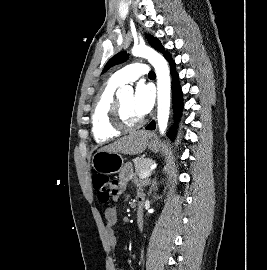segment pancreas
Here are the masks:
<instances>
[{
    "label": "pancreas",
    "instance_id": "1",
    "mask_svg": "<svg viewBox=\"0 0 267 270\" xmlns=\"http://www.w3.org/2000/svg\"><path fill=\"white\" fill-rule=\"evenodd\" d=\"M135 171L139 177L146 173L153 165V160L149 158L138 157L134 159Z\"/></svg>",
    "mask_w": 267,
    "mask_h": 270
}]
</instances>
